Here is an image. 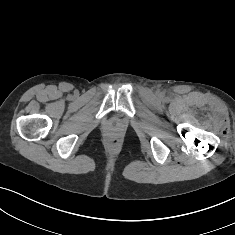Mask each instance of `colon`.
Masks as SVG:
<instances>
[{
  "mask_svg": "<svg viewBox=\"0 0 235 235\" xmlns=\"http://www.w3.org/2000/svg\"><path fill=\"white\" fill-rule=\"evenodd\" d=\"M116 142H117L116 140H112L111 141L112 144H116Z\"/></svg>",
  "mask_w": 235,
  "mask_h": 235,
  "instance_id": "colon-1",
  "label": "colon"
}]
</instances>
